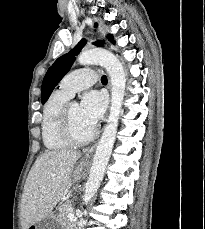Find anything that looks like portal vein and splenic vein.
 Listing matches in <instances>:
<instances>
[{
  "label": "portal vein and splenic vein",
  "instance_id": "18ae733b",
  "mask_svg": "<svg viewBox=\"0 0 205 229\" xmlns=\"http://www.w3.org/2000/svg\"><path fill=\"white\" fill-rule=\"evenodd\" d=\"M67 217H68V219L71 220V221H76V220H77L76 216H75L73 213L68 214Z\"/></svg>",
  "mask_w": 205,
  "mask_h": 229
}]
</instances>
